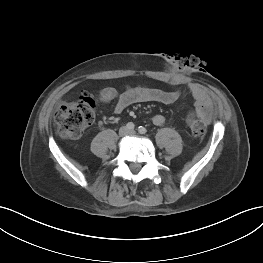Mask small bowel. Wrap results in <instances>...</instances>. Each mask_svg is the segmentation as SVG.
<instances>
[{
	"instance_id": "1",
	"label": "small bowel",
	"mask_w": 263,
	"mask_h": 263,
	"mask_svg": "<svg viewBox=\"0 0 263 263\" xmlns=\"http://www.w3.org/2000/svg\"><path fill=\"white\" fill-rule=\"evenodd\" d=\"M189 91L195 100V110L197 115L204 121H210L213 115L212 102L203 87L197 83L189 84ZM181 96L178 90L166 91L158 88H128L118 93L113 87H105L99 93V99L102 102H110L117 99L114 112L122 113L127 107L136 103L157 102L162 104H171L177 101ZM153 124L161 126L166 122L162 114H155L152 117Z\"/></svg>"
}]
</instances>
